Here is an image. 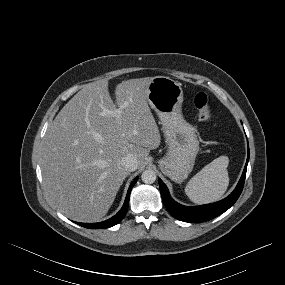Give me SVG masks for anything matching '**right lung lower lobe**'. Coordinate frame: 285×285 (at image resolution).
Masks as SVG:
<instances>
[{
	"mask_svg": "<svg viewBox=\"0 0 285 285\" xmlns=\"http://www.w3.org/2000/svg\"><path fill=\"white\" fill-rule=\"evenodd\" d=\"M137 180H138V177H136L133 180V182L131 183V185L128 189V192H127V196H126L124 205L115 216H113L112 218H110L106 221L100 222V223H79V222H77V224H79L80 226H83L85 228H91V229L109 228V227H112V226L118 224L124 218V216L128 210L130 192H131L132 187L137 182Z\"/></svg>",
	"mask_w": 285,
	"mask_h": 285,
	"instance_id": "1",
	"label": "right lung lower lobe"
}]
</instances>
